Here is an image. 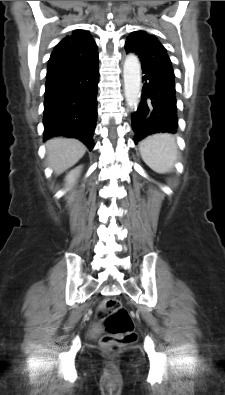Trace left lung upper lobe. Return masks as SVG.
Wrapping results in <instances>:
<instances>
[{
  "mask_svg": "<svg viewBox=\"0 0 225 395\" xmlns=\"http://www.w3.org/2000/svg\"><path fill=\"white\" fill-rule=\"evenodd\" d=\"M127 52H134L144 66L162 65L172 68L167 51L159 40L145 31H135L125 43Z\"/></svg>",
  "mask_w": 225,
  "mask_h": 395,
  "instance_id": "5c2ea615",
  "label": "left lung upper lobe"
}]
</instances>
